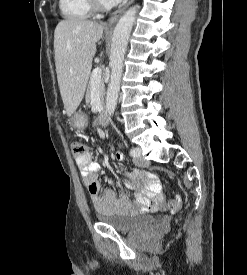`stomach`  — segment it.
Instances as JSON below:
<instances>
[{
	"instance_id": "obj_1",
	"label": "stomach",
	"mask_w": 247,
	"mask_h": 275,
	"mask_svg": "<svg viewBox=\"0 0 247 275\" xmlns=\"http://www.w3.org/2000/svg\"><path fill=\"white\" fill-rule=\"evenodd\" d=\"M70 123L72 127L81 131L86 127L87 120L81 112H75L70 118Z\"/></svg>"
}]
</instances>
